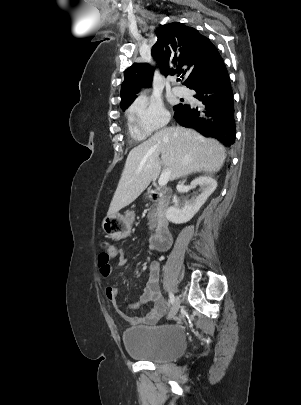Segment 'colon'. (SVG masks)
<instances>
[{
	"instance_id": "colon-1",
	"label": "colon",
	"mask_w": 301,
	"mask_h": 405,
	"mask_svg": "<svg viewBox=\"0 0 301 405\" xmlns=\"http://www.w3.org/2000/svg\"><path fill=\"white\" fill-rule=\"evenodd\" d=\"M100 256H107L110 250V245L106 241L99 242Z\"/></svg>"
}]
</instances>
